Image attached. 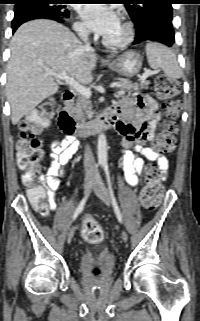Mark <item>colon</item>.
I'll return each mask as SVG.
<instances>
[{
  "instance_id": "colon-1",
  "label": "colon",
  "mask_w": 200,
  "mask_h": 321,
  "mask_svg": "<svg viewBox=\"0 0 200 321\" xmlns=\"http://www.w3.org/2000/svg\"><path fill=\"white\" fill-rule=\"evenodd\" d=\"M155 93L163 101L168 118L160 127L155 139V148L160 153H171L176 147L177 119L181 109L180 101L176 99L179 94V85L174 79L160 75L155 82ZM54 111V102L48 100L42 103L39 109L31 112L21 125L17 143L16 160L18 168L22 172L23 185L28 190L30 202L43 216L50 213V208L43 202V190L37 184L40 163L43 158L42 141L38 135L42 129L48 126ZM163 192L159 170L154 166H147L145 168V186L140 194L142 206L148 210L155 209L162 199ZM82 236L87 242L97 244L103 240V230L94 219L86 217L82 224ZM93 274L95 277L100 276L101 269L95 266Z\"/></svg>"
}]
</instances>
